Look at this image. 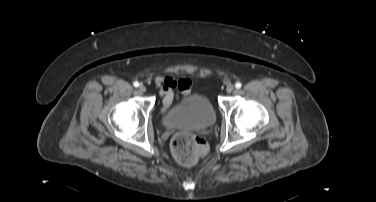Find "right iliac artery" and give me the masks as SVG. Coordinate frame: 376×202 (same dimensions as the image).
<instances>
[{"instance_id": "82829eb1", "label": "right iliac artery", "mask_w": 376, "mask_h": 202, "mask_svg": "<svg viewBox=\"0 0 376 202\" xmlns=\"http://www.w3.org/2000/svg\"><path fill=\"white\" fill-rule=\"evenodd\" d=\"M133 85H134V87H138V86H139V82L135 81V82L133 83Z\"/></svg>"}]
</instances>
